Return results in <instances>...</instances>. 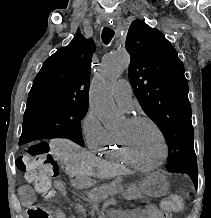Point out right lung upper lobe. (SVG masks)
<instances>
[{
    "mask_svg": "<svg viewBox=\"0 0 211 218\" xmlns=\"http://www.w3.org/2000/svg\"><path fill=\"white\" fill-rule=\"evenodd\" d=\"M95 44L77 34L43 64L34 79L27 103L41 101L88 104L89 80Z\"/></svg>",
    "mask_w": 211,
    "mask_h": 218,
    "instance_id": "obj_1",
    "label": "right lung upper lobe"
}]
</instances>
